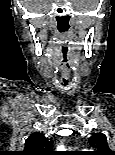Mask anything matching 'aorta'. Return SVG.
<instances>
[{"label":"aorta","mask_w":115,"mask_h":155,"mask_svg":"<svg viewBox=\"0 0 115 155\" xmlns=\"http://www.w3.org/2000/svg\"><path fill=\"white\" fill-rule=\"evenodd\" d=\"M58 149H64V147L63 146H59Z\"/></svg>","instance_id":"aorta-1"}]
</instances>
